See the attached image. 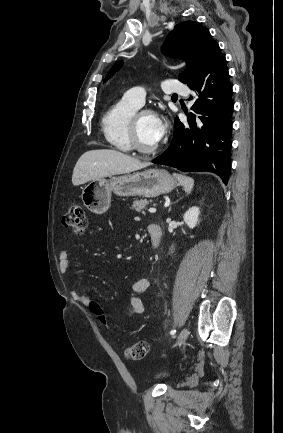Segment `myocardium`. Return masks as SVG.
<instances>
[{
	"label": "myocardium",
	"mask_w": 283,
	"mask_h": 433,
	"mask_svg": "<svg viewBox=\"0 0 283 433\" xmlns=\"http://www.w3.org/2000/svg\"><path fill=\"white\" fill-rule=\"evenodd\" d=\"M145 114H152L155 115L154 111L150 109H141L133 115L131 122H130V141H131V149L139 153L140 155H158L163 151V148H160L156 151H148L145 150L142 147V143L139 140V134H138V125L140 118Z\"/></svg>",
	"instance_id": "f54148a6"
}]
</instances>
